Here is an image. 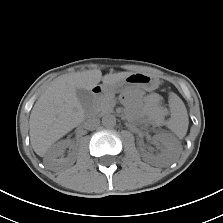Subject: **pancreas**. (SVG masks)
Listing matches in <instances>:
<instances>
[{
    "label": "pancreas",
    "mask_w": 223,
    "mask_h": 223,
    "mask_svg": "<svg viewBox=\"0 0 223 223\" xmlns=\"http://www.w3.org/2000/svg\"><path fill=\"white\" fill-rule=\"evenodd\" d=\"M114 103V95L108 94L100 99H95L89 109L95 114H104L113 111Z\"/></svg>",
    "instance_id": "pancreas-1"
}]
</instances>
